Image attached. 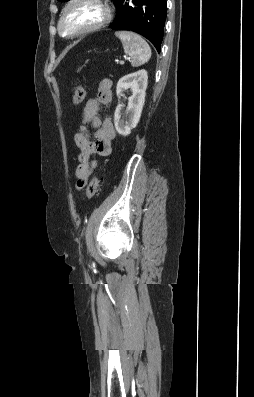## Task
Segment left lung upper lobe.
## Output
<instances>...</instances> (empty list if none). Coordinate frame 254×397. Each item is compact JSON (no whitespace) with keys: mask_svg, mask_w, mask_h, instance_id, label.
<instances>
[{"mask_svg":"<svg viewBox=\"0 0 254 397\" xmlns=\"http://www.w3.org/2000/svg\"><path fill=\"white\" fill-rule=\"evenodd\" d=\"M58 1H60V2H66V1H69V0H58Z\"/></svg>","mask_w":254,"mask_h":397,"instance_id":"left-lung-upper-lobe-1","label":"left lung upper lobe"}]
</instances>
